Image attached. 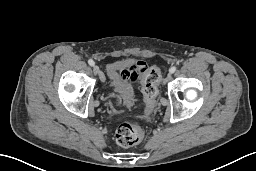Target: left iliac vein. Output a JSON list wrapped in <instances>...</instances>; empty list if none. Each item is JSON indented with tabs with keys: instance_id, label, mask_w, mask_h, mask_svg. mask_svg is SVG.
Returning <instances> with one entry per match:
<instances>
[{
	"instance_id": "1",
	"label": "left iliac vein",
	"mask_w": 256,
	"mask_h": 171,
	"mask_svg": "<svg viewBox=\"0 0 256 171\" xmlns=\"http://www.w3.org/2000/svg\"><path fill=\"white\" fill-rule=\"evenodd\" d=\"M171 71H169V74H168V76H167V80H170L171 79Z\"/></svg>"
}]
</instances>
